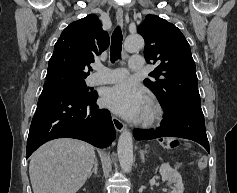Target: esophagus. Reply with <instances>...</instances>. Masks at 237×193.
Instances as JSON below:
<instances>
[{
	"label": "esophagus",
	"instance_id": "1",
	"mask_svg": "<svg viewBox=\"0 0 237 193\" xmlns=\"http://www.w3.org/2000/svg\"><path fill=\"white\" fill-rule=\"evenodd\" d=\"M116 19H117L118 24L122 26V24H123V10L121 8L117 9ZM112 121H113L115 129L118 132H122L125 129V127H126L125 124L117 117L113 116Z\"/></svg>",
	"mask_w": 237,
	"mask_h": 193
}]
</instances>
